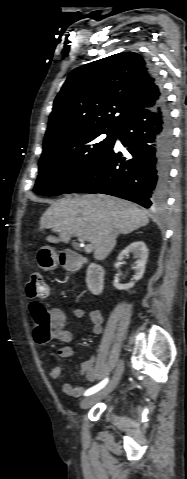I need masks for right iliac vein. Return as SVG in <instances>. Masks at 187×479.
<instances>
[{"label": "right iliac vein", "instance_id": "right-iliac-vein-1", "mask_svg": "<svg viewBox=\"0 0 187 479\" xmlns=\"http://www.w3.org/2000/svg\"><path fill=\"white\" fill-rule=\"evenodd\" d=\"M123 370H124V364L122 361H120L117 365V368L115 370V373L111 379V381L109 382V384L103 389L101 390L100 392L92 395V396H89V397H86L84 398L82 401H81V408L82 409H87L89 408L91 405H93L94 403H96L97 401L103 399L104 397H106L109 393H111L115 388L116 386L118 385L120 379H121V376L123 374Z\"/></svg>", "mask_w": 187, "mask_h": 479}]
</instances>
